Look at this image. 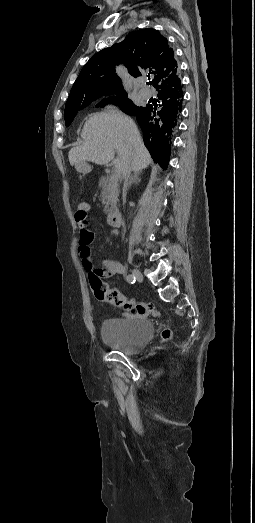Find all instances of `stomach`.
<instances>
[{"label":"stomach","mask_w":255,"mask_h":523,"mask_svg":"<svg viewBox=\"0 0 255 523\" xmlns=\"http://www.w3.org/2000/svg\"><path fill=\"white\" fill-rule=\"evenodd\" d=\"M79 172L82 176H89L92 172V169L89 165H82L79 169Z\"/></svg>","instance_id":"1"}]
</instances>
